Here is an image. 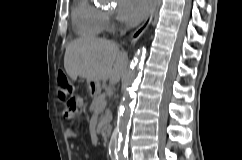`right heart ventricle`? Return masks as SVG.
I'll return each mask as SVG.
<instances>
[{
    "label": "right heart ventricle",
    "instance_id": "e07e8e85",
    "mask_svg": "<svg viewBox=\"0 0 242 160\" xmlns=\"http://www.w3.org/2000/svg\"><path fill=\"white\" fill-rule=\"evenodd\" d=\"M72 20L77 32L83 37L98 38L107 26L105 13L90 0H76Z\"/></svg>",
    "mask_w": 242,
    "mask_h": 160
}]
</instances>
